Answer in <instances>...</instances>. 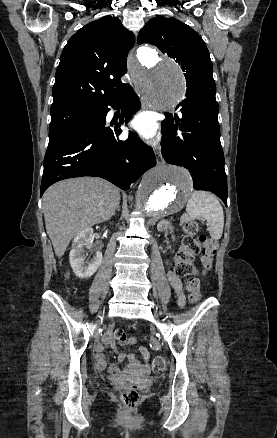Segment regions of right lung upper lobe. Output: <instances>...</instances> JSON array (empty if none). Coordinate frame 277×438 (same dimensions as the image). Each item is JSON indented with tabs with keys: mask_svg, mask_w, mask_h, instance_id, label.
<instances>
[{
	"mask_svg": "<svg viewBox=\"0 0 277 438\" xmlns=\"http://www.w3.org/2000/svg\"><path fill=\"white\" fill-rule=\"evenodd\" d=\"M135 36L117 17L105 16L78 30L64 47L56 70L51 112L95 109L123 91L121 77Z\"/></svg>",
	"mask_w": 277,
	"mask_h": 438,
	"instance_id": "obj_1",
	"label": "right lung upper lobe"
}]
</instances>
